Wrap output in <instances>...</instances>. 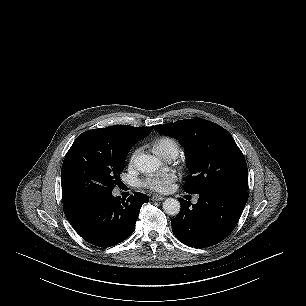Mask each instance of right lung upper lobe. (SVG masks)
Listing matches in <instances>:
<instances>
[{
	"instance_id": "obj_1",
	"label": "right lung upper lobe",
	"mask_w": 306,
	"mask_h": 306,
	"mask_svg": "<svg viewBox=\"0 0 306 306\" xmlns=\"http://www.w3.org/2000/svg\"><path fill=\"white\" fill-rule=\"evenodd\" d=\"M153 127H133V126H110L107 128H99L83 132L81 137H103L110 142H118L124 144H136L139 140L146 137ZM69 205V204H64Z\"/></svg>"
}]
</instances>
